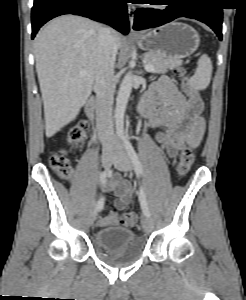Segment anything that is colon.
Returning a JSON list of instances; mask_svg holds the SVG:
<instances>
[{
  "instance_id": "obj_1",
  "label": "colon",
  "mask_w": 246,
  "mask_h": 300,
  "mask_svg": "<svg viewBox=\"0 0 246 300\" xmlns=\"http://www.w3.org/2000/svg\"><path fill=\"white\" fill-rule=\"evenodd\" d=\"M176 75L181 79L182 89L184 93L189 97L193 103L201 104V99L197 91L192 87L190 80L187 76L185 68H177ZM88 133V125L86 123H80L70 133L69 143L74 146L82 145ZM195 159L194 146L192 144L187 145L180 154L179 162L177 165V174L181 177L185 176ZM50 167L63 177H70L73 174L72 166L63 150L53 152L49 157ZM118 210L114 209L113 214H117ZM121 222L124 226L131 227L137 224L138 216L135 213H125L122 216Z\"/></svg>"
}]
</instances>
